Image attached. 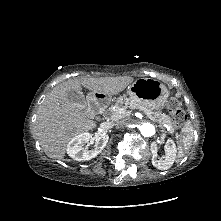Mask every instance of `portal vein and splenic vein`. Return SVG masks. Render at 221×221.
Returning <instances> with one entry per match:
<instances>
[{
  "mask_svg": "<svg viewBox=\"0 0 221 221\" xmlns=\"http://www.w3.org/2000/svg\"><path fill=\"white\" fill-rule=\"evenodd\" d=\"M125 113H127V110L125 108H119L118 109V114L119 115H124ZM165 127L169 130V127L165 125Z\"/></svg>",
  "mask_w": 221,
  "mask_h": 221,
  "instance_id": "1",
  "label": "portal vein and splenic vein"
}]
</instances>
